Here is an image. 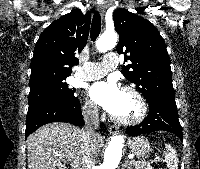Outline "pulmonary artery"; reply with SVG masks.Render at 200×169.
<instances>
[{
	"instance_id": "1",
	"label": "pulmonary artery",
	"mask_w": 200,
	"mask_h": 169,
	"mask_svg": "<svg viewBox=\"0 0 200 169\" xmlns=\"http://www.w3.org/2000/svg\"><path fill=\"white\" fill-rule=\"evenodd\" d=\"M118 64V58L115 53L107 54L99 62H87L85 68L75 74V78L82 81H91L99 79L109 71L115 69Z\"/></svg>"
}]
</instances>
